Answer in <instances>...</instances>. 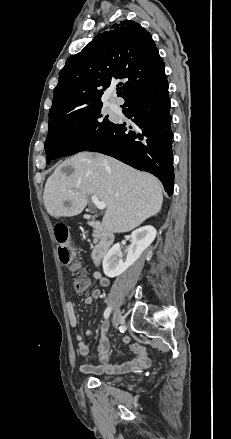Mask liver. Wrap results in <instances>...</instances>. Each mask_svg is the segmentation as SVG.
Returning <instances> with one entry per match:
<instances>
[{
  "label": "liver",
  "mask_w": 231,
  "mask_h": 439,
  "mask_svg": "<svg viewBox=\"0 0 231 439\" xmlns=\"http://www.w3.org/2000/svg\"><path fill=\"white\" fill-rule=\"evenodd\" d=\"M89 196L105 202L102 224L112 233L129 232L162 207L160 181L151 174L99 153L81 152L61 163L47 179L43 201L54 218L80 214Z\"/></svg>",
  "instance_id": "obj_1"
}]
</instances>
